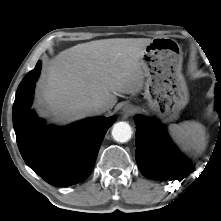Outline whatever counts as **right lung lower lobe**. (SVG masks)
<instances>
[{
    "instance_id": "right-lung-lower-lobe-1",
    "label": "right lung lower lobe",
    "mask_w": 221,
    "mask_h": 221,
    "mask_svg": "<svg viewBox=\"0 0 221 221\" xmlns=\"http://www.w3.org/2000/svg\"><path fill=\"white\" fill-rule=\"evenodd\" d=\"M41 61L20 83L13 105V126L26 164L51 185L64 187L92 172L107 129L116 118L96 117L58 128L45 125L31 110Z\"/></svg>"
}]
</instances>
